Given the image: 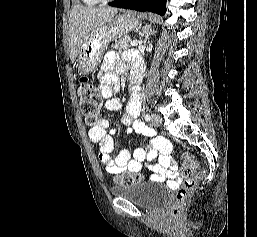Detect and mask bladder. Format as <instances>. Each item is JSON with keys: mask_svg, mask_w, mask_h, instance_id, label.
<instances>
[{"mask_svg": "<svg viewBox=\"0 0 257 237\" xmlns=\"http://www.w3.org/2000/svg\"><path fill=\"white\" fill-rule=\"evenodd\" d=\"M110 192L114 197L127 199L148 210H156L169 200L168 190L153 181H138L129 185L114 186Z\"/></svg>", "mask_w": 257, "mask_h": 237, "instance_id": "bladder-1", "label": "bladder"}]
</instances>
